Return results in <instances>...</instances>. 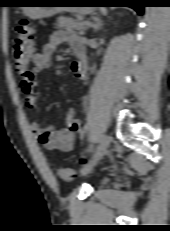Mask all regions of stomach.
<instances>
[{
    "instance_id": "1",
    "label": "stomach",
    "mask_w": 170,
    "mask_h": 231,
    "mask_svg": "<svg viewBox=\"0 0 170 231\" xmlns=\"http://www.w3.org/2000/svg\"><path fill=\"white\" fill-rule=\"evenodd\" d=\"M66 1L61 0H36L28 1L26 3H35V4H60ZM23 12L26 16L31 19H42L51 17L57 13L61 12H71L78 14H88L92 12L91 7H23Z\"/></svg>"
}]
</instances>
